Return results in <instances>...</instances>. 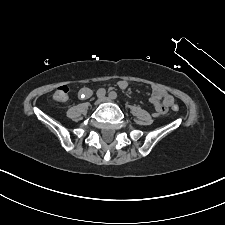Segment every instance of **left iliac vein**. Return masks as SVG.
Here are the masks:
<instances>
[{
	"label": "left iliac vein",
	"mask_w": 225,
	"mask_h": 225,
	"mask_svg": "<svg viewBox=\"0 0 225 225\" xmlns=\"http://www.w3.org/2000/svg\"><path fill=\"white\" fill-rule=\"evenodd\" d=\"M102 101H103V102H112V99L109 98V97H104V98L102 99Z\"/></svg>",
	"instance_id": "obj_1"
}]
</instances>
